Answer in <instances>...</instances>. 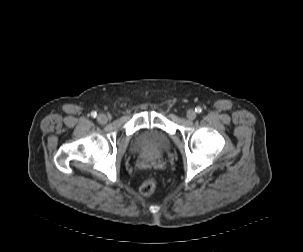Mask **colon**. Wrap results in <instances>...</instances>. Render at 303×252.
<instances>
[{
	"label": "colon",
	"mask_w": 303,
	"mask_h": 252,
	"mask_svg": "<svg viewBox=\"0 0 303 252\" xmlns=\"http://www.w3.org/2000/svg\"><path fill=\"white\" fill-rule=\"evenodd\" d=\"M157 186V180L154 177H148L140 186V192L144 196H149L154 193Z\"/></svg>",
	"instance_id": "colon-1"
}]
</instances>
